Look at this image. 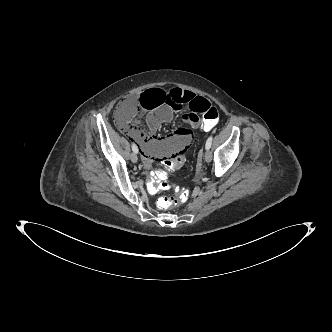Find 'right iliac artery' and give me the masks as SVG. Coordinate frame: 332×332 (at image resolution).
<instances>
[{
    "label": "right iliac artery",
    "mask_w": 332,
    "mask_h": 332,
    "mask_svg": "<svg viewBox=\"0 0 332 332\" xmlns=\"http://www.w3.org/2000/svg\"><path fill=\"white\" fill-rule=\"evenodd\" d=\"M132 150H133L134 153H138V147L134 143H132Z\"/></svg>",
    "instance_id": "right-iliac-artery-1"
}]
</instances>
